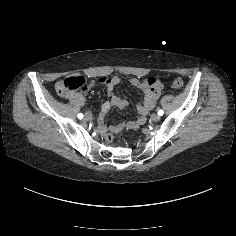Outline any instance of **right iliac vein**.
Listing matches in <instances>:
<instances>
[{
    "label": "right iliac vein",
    "instance_id": "right-iliac-vein-1",
    "mask_svg": "<svg viewBox=\"0 0 236 236\" xmlns=\"http://www.w3.org/2000/svg\"><path fill=\"white\" fill-rule=\"evenodd\" d=\"M91 118H92L91 115H90V114H87V115L85 116V118H84V122L90 121Z\"/></svg>",
    "mask_w": 236,
    "mask_h": 236
}]
</instances>
